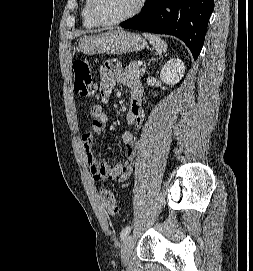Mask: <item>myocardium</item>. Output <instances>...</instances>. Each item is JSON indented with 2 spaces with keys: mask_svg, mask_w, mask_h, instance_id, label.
<instances>
[{
  "mask_svg": "<svg viewBox=\"0 0 253 271\" xmlns=\"http://www.w3.org/2000/svg\"><path fill=\"white\" fill-rule=\"evenodd\" d=\"M96 2L97 0H90V13L91 16L93 18V20L95 21V23L98 26H103V27H112L115 25H118L120 23H123L127 20L132 19L133 17H135L136 15H138L141 10L143 9L146 0H138L136 6L126 15H124L123 17L113 20V21H104L103 19L100 18V16L97 13L96 10Z\"/></svg>",
  "mask_w": 253,
  "mask_h": 271,
  "instance_id": "myocardium-1",
  "label": "myocardium"
}]
</instances>
